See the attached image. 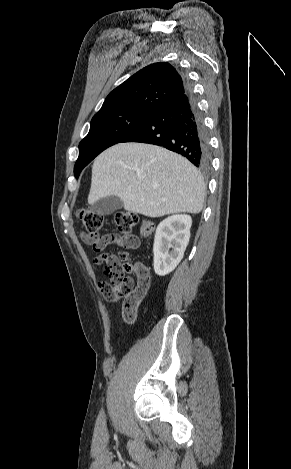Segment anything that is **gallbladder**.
I'll return each instance as SVG.
<instances>
[{
  "label": "gallbladder",
  "mask_w": 291,
  "mask_h": 469,
  "mask_svg": "<svg viewBox=\"0 0 291 469\" xmlns=\"http://www.w3.org/2000/svg\"><path fill=\"white\" fill-rule=\"evenodd\" d=\"M123 208V201L117 196H107L91 205V210L99 215H110Z\"/></svg>",
  "instance_id": "1"
}]
</instances>
